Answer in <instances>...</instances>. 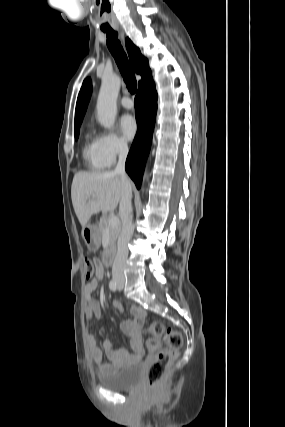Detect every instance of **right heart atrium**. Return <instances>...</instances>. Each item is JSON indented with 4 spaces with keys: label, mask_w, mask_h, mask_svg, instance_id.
<instances>
[{
    "label": "right heart atrium",
    "mask_w": 285,
    "mask_h": 427,
    "mask_svg": "<svg viewBox=\"0 0 285 427\" xmlns=\"http://www.w3.org/2000/svg\"><path fill=\"white\" fill-rule=\"evenodd\" d=\"M100 151L108 165H112L119 157L128 152V144L115 131H105L98 136Z\"/></svg>",
    "instance_id": "1"
}]
</instances>
